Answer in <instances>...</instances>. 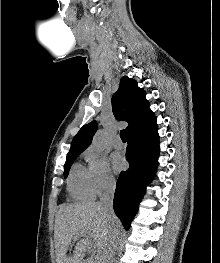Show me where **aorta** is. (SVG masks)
<instances>
[{"label":"aorta","mask_w":220,"mask_h":263,"mask_svg":"<svg viewBox=\"0 0 220 263\" xmlns=\"http://www.w3.org/2000/svg\"><path fill=\"white\" fill-rule=\"evenodd\" d=\"M93 147L97 152H102L105 148V139L101 131H99L93 138Z\"/></svg>","instance_id":"1"}]
</instances>
